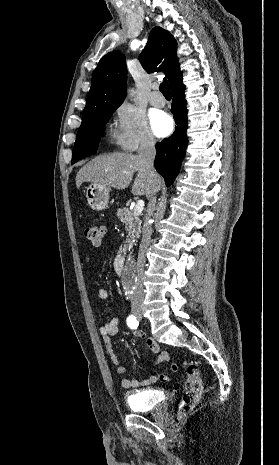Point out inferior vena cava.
I'll return each mask as SVG.
<instances>
[{
  "instance_id": "602c4592",
  "label": "inferior vena cava",
  "mask_w": 279,
  "mask_h": 465,
  "mask_svg": "<svg viewBox=\"0 0 279 465\" xmlns=\"http://www.w3.org/2000/svg\"><path fill=\"white\" fill-rule=\"evenodd\" d=\"M155 140L151 136H146L139 147L138 156L143 161L145 168L148 170L151 176L155 175V168H154V159H155ZM155 190L151 189V191L147 194V198L149 200L147 213L144 220L143 225V233H142V240L139 248L138 253V260H137V281L135 283V290L133 293V300L136 303L142 302L144 299V292H143V285H142V277L144 273V266L146 262V251L150 244L151 234H152V227L149 223V219L152 216L155 210Z\"/></svg>"
}]
</instances>
